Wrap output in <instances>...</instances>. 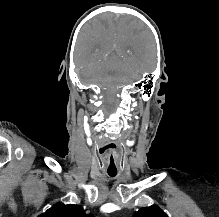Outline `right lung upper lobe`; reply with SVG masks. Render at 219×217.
<instances>
[{
    "mask_svg": "<svg viewBox=\"0 0 219 217\" xmlns=\"http://www.w3.org/2000/svg\"><path fill=\"white\" fill-rule=\"evenodd\" d=\"M39 217H94L92 214H85L83 208L79 205H64L58 203L53 205Z\"/></svg>",
    "mask_w": 219,
    "mask_h": 217,
    "instance_id": "obj_1",
    "label": "right lung upper lobe"
}]
</instances>
